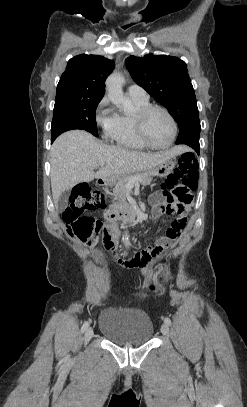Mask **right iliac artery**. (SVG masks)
<instances>
[{
    "label": "right iliac artery",
    "instance_id": "82829eb1",
    "mask_svg": "<svg viewBox=\"0 0 247 407\" xmlns=\"http://www.w3.org/2000/svg\"><path fill=\"white\" fill-rule=\"evenodd\" d=\"M89 327V323L88 322H84V324L81 327V331L84 332L87 330V328Z\"/></svg>",
    "mask_w": 247,
    "mask_h": 407
}]
</instances>
